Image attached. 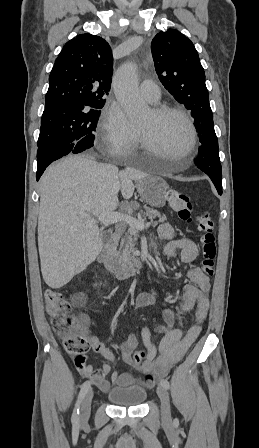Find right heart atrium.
Segmentation results:
<instances>
[{
    "mask_svg": "<svg viewBox=\"0 0 259 448\" xmlns=\"http://www.w3.org/2000/svg\"><path fill=\"white\" fill-rule=\"evenodd\" d=\"M99 144L102 152H113V157L129 159L141 144L137 127L118 103H113L106 110L100 126Z\"/></svg>",
    "mask_w": 259,
    "mask_h": 448,
    "instance_id": "1",
    "label": "right heart atrium"
}]
</instances>
